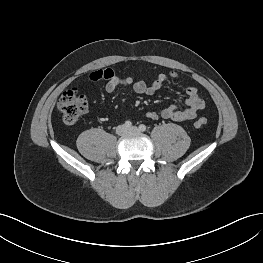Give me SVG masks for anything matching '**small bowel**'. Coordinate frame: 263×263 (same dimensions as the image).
Returning <instances> with one entry per match:
<instances>
[{"instance_id": "c3829d8e", "label": "small bowel", "mask_w": 263, "mask_h": 263, "mask_svg": "<svg viewBox=\"0 0 263 263\" xmlns=\"http://www.w3.org/2000/svg\"><path fill=\"white\" fill-rule=\"evenodd\" d=\"M176 72L160 73L152 83L148 84L142 80L135 81L131 77L118 76L113 69L96 70L88 75L89 82L105 80V90L112 93L120 87H131L136 94L152 95L158 92L163 84L169 79H178ZM187 99L184 102L185 107L170 105L160 112L149 111L145 117L149 120L159 118L170 119L176 122H187L194 119L197 114L205 107L203 99L200 98L196 87L186 88Z\"/></svg>"}]
</instances>
